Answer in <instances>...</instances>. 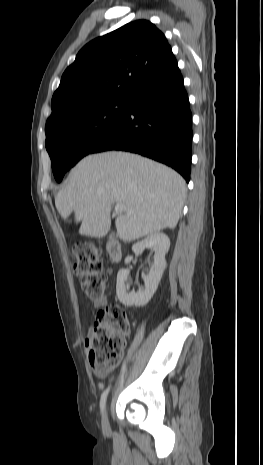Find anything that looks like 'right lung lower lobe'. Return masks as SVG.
<instances>
[{"mask_svg": "<svg viewBox=\"0 0 263 465\" xmlns=\"http://www.w3.org/2000/svg\"><path fill=\"white\" fill-rule=\"evenodd\" d=\"M191 144L192 113L177 66L132 94L124 118L91 153H138L174 168L189 182Z\"/></svg>", "mask_w": 263, "mask_h": 465, "instance_id": "98d812e1", "label": "right lung lower lobe"}]
</instances>
